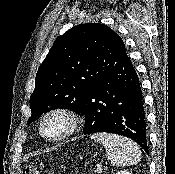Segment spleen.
<instances>
[{"label":"spleen","instance_id":"1","mask_svg":"<svg viewBox=\"0 0 175 174\" xmlns=\"http://www.w3.org/2000/svg\"><path fill=\"white\" fill-rule=\"evenodd\" d=\"M91 139L105 147L107 156L115 167L134 165L141 160L139 147L126 137L103 132L94 133Z\"/></svg>","mask_w":175,"mask_h":174}]
</instances>
